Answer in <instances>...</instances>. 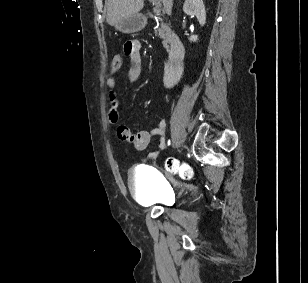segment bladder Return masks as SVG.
<instances>
[{
	"instance_id": "obj_1",
	"label": "bladder",
	"mask_w": 308,
	"mask_h": 283,
	"mask_svg": "<svg viewBox=\"0 0 308 283\" xmlns=\"http://www.w3.org/2000/svg\"><path fill=\"white\" fill-rule=\"evenodd\" d=\"M128 186L139 203L149 206L165 203L171 187L156 169L146 166L130 171Z\"/></svg>"
}]
</instances>
